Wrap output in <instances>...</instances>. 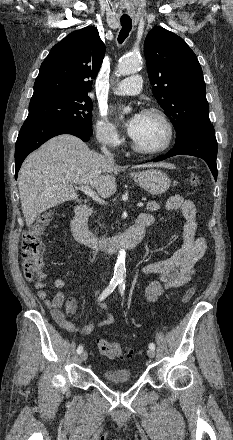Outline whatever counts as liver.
Returning <instances> with one entry per match:
<instances>
[{
    "mask_svg": "<svg viewBox=\"0 0 233 440\" xmlns=\"http://www.w3.org/2000/svg\"><path fill=\"white\" fill-rule=\"evenodd\" d=\"M140 167H171L154 163ZM121 167L90 150L78 137L69 134L53 137L31 153L18 173L22 212L28 227L44 211L78 198L73 184H90L98 194L110 197L116 191L112 173Z\"/></svg>",
    "mask_w": 233,
    "mask_h": 440,
    "instance_id": "obj_1",
    "label": "liver"
}]
</instances>
